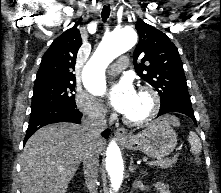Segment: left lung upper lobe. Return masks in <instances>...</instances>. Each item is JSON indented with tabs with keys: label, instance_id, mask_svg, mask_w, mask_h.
Listing matches in <instances>:
<instances>
[{
	"label": "left lung upper lobe",
	"instance_id": "1",
	"mask_svg": "<svg viewBox=\"0 0 221 193\" xmlns=\"http://www.w3.org/2000/svg\"><path fill=\"white\" fill-rule=\"evenodd\" d=\"M135 27L140 37L133 53L137 74L158 91L161 104L179 95H189L177 47L166 34L140 18Z\"/></svg>",
	"mask_w": 221,
	"mask_h": 193
}]
</instances>
